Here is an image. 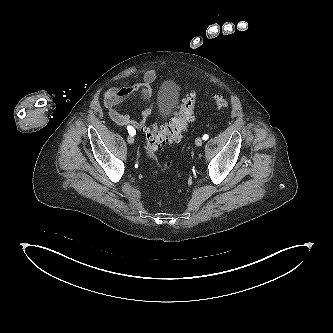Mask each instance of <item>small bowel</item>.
<instances>
[{"label": "small bowel", "mask_w": 333, "mask_h": 333, "mask_svg": "<svg viewBox=\"0 0 333 333\" xmlns=\"http://www.w3.org/2000/svg\"><path fill=\"white\" fill-rule=\"evenodd\" d=\"M135 79L129 85H123L108 89L103 93V103L108 111L109 118L120 127H132L142 129L150 114V102L152 98L151 84L156 79L153 69H144L132 76ZM134 93H139L143 103V109L138 119H132L129 115L120 112L117 106Z\"/></svg>", "instance_id": "1"}]
</instances>
